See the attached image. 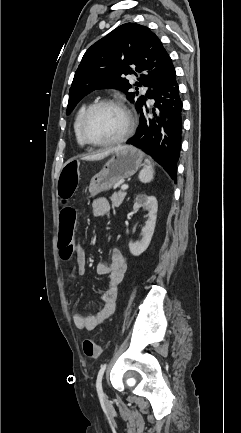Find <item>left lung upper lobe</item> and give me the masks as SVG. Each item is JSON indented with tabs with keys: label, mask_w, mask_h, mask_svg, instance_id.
<instances>
[{
	"label": "left lung upper lobe",
	"mask_w": 241,
	"mask_h": 433,
	"mask_svg": "<svg viewBox=\"0 0 241 433\" xmlns=\"http://www.w3.org/2000/svg\"><path fill=\"white\" fill-rule=\"evenodd\" d=\"M171 64V58L152 31L135 23L123 24L93 44L84 54L69 91L66 112L70 113L88 93L103 88L119 89L134 103L138 92H128L132 85L123 77L134 74L138 76L134 86L151 88L136 101V109L140 113Z\"/></svg>",
	"instance_id": "left-lung-upper-lobe-1"
}]
</instances>
